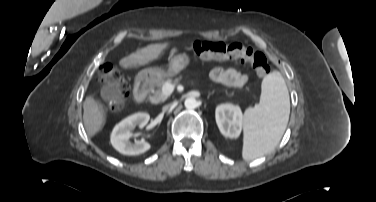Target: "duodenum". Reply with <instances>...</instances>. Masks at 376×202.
Masks as SVG:
<instances>
[{
    "label": "duodenum",
    "mask_w": 376,
    "mask_h": 202,
    "mask_svg": "<svg viewBox=\"0 0 376 202\" xmlns=\"http://www.w3.org/2000/svg\"><path fill=\"white\" fill-rule=\"evenodd\" d=\"M148 94V80L145 77L140 78L134 87V100L141 103L145 100Z\"/></svg>",
    "instance_id": "obj_1"
}]
</instances>
